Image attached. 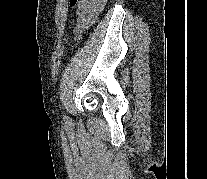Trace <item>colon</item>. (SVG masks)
Wrapping results in <instances>:
<instances>
[{"label":"colon","mask_w":207,"mask_h":179,"mask_svg":"<svg viewBox=\"0 0 207 179\" xmlns=\"http://www.w3.org/2000/svg\"><path fill=\"white\" fill-rule=\"evenodd\" d=\"M77 3V0H69L70 6H73Z\"/></svg>","instance_id":"colon-1"}]
</instances>
